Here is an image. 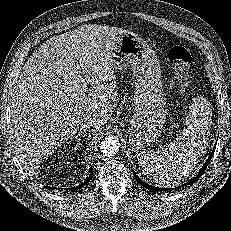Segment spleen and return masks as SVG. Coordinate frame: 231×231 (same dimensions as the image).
I'll use <instances>...</instances> for the list:
<instances>
[{
	"instance_id": "3e777b00",
	"label": "spleen",
	"mask_w": 231,
	"mask_h": 231,
	"mask_svg": "<svg viewBox=\"0 0 231 231\" xmlns=\"http://www.w3.org/2000/svg\"><path fill=\"white\" fill-rule=\"evenodd\" d=\"M210 120L209 112L200 99L194 100L186 117V128L178 135L176 142L162 150L138 154L143 174L162 186L179 185L193 172L206 152Z\"/></svg>"
}]
</instances>
